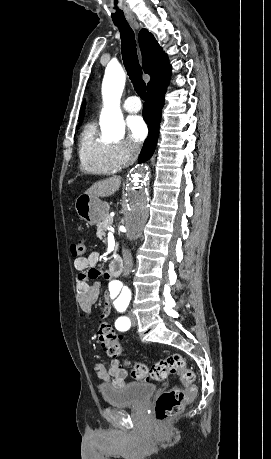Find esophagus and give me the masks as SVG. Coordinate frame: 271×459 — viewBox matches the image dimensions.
Returning <instances> with one entry per match:
<instances>
[{
	"instance_id": "34e87169",
	"label": "esophagus",
	"mask_w": 271,
	"mask_h": 459,
	"mask_svg": "<svg viewBox=\"0 0 271 459\" xmlns=\"http://www.w3.org/2000/svg\"><path fill=\"white\" fill-rule=\"evenodd\" d=\"M131 25H132L135 29H139V24H138V22H133V23H131Z\"/></svg>"
}]
</instances>
